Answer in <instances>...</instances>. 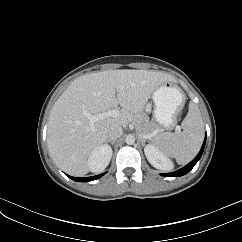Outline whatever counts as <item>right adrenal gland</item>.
<instances>
[{"label":"right adrenal gland","mask_w":242,"mask_h":242,"mask_svg":"<svg viewBox=\"0 0 242 242\" xmlns=\"http://www.w3.org/2000/svg\"><path fill=\"white\" fill-rule=\"evenodd\" d=\"M106 143H111L112 145H114V144H115V140H110V139H108V140L106 141Z\"/></svg>","instance_id":"obj_1"}]
</instances>
